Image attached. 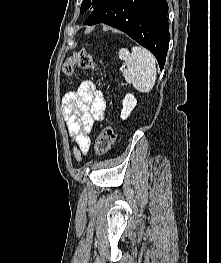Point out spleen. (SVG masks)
Masks as SVG:
<instances>
[{
    "mask_svg": "<svg viewBox=\"0 0 221 263\" xmlns=\"http://www.w3.org/2000/svg\"><path fill=\"white\" fill-rule=\"evenodd\" d=\"M119 58L127 66L123 70V77L140 92L148 93L156 81V64L154 56L142 47L134 46L129 51L126 48L119 50Z\"/></svg>",
    "mask_w": 221,
    "mask_h": 263,
    "instance_id": "3e777b00",
    "label": "spleen"
}]
</instances>
